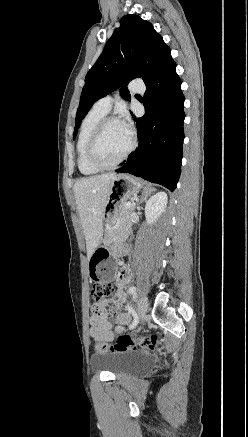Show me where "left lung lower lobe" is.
Segmentation results:
<instances>
[{
    "label": "left lung lower lobe",
    "mask_w": 248,
    "mask_h": 437,
    "mask_svg": "<svg viewBox=\"0 0 248 437\" xmlns=\"http://www.w3.org/2000/svg\"><path fill=\"white\" fill-rule=\"evenodd\" d=\"M144 106L143 117L133 116L138 149L116 172L130 173L173 191L181 173L185 118L181 80L173 60L146 83Z\"/></svg>",
    "instance_id": "obj_1"
}]
</instances>
